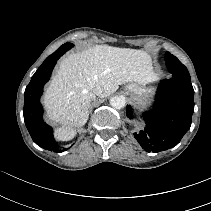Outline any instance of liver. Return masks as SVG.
Returning a JSON list of instances; mask_svg holds the SVG:
<instances>
[{
  "instance_id": "1",
  "label": "liver",
  "mask_w": 211,
  "mask_h": 211,
  "mask_svg": "<svg viewBox=\"0 0 211 211\" xmlns=\"http://www.w3.org/2000/svg\"><path fill=\"white\" fill-rule=\"evenodd\" d=\"M157 77L143 50L96 45L70 54L60 62L43 100L48 118L61 124L56 138L70 140L86 123L96 86L103 89L100 97H107L126 82L146 85Z\"/></svg>"
}]
</instances>
